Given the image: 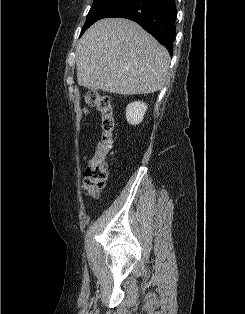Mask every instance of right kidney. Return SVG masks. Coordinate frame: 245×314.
Returning <instances> with one entry per match:
<instances>
[{
	"instance_id": "ca27d5eb",
	"label": "right kidney",
	"mask_w": 245,
	"mask_h": 314,
	"mask_svg": "<svg viewBox=\"0 0 245 314\" xmlns=\"http://www.w3.org/2000/svg\"><path fill=\"white\" fill-rule=\"evenodd\" d=\"M147 105L140 101L128 104L126 108V119L131 125H138L142 122L147 111Z\"/></svg>"
}]
</instances>
